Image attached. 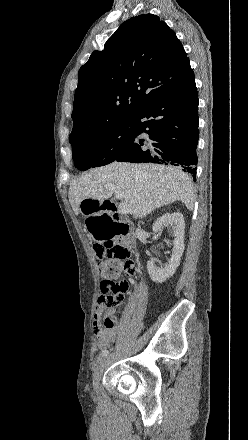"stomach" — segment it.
<instances>
[{
    "label": "stomach",
    "mask_w": 248,
    "mask_h": 440,
    "mask_svg": "<svg viewBox=\"0 0 248 440\" xmlns=\"http://www.w3.org/2000/svg\"><path fill=\"white\" fill-rule=\"evenodd\" d=\"M90 203L82 204L81 216L87 218L86 229L89 237H93V246H106L107 241H116L117 230L112 226L109 209H105L104 204L97 200Z\"/></svg>",
    "instance_id": "1"
}]
</instances>
